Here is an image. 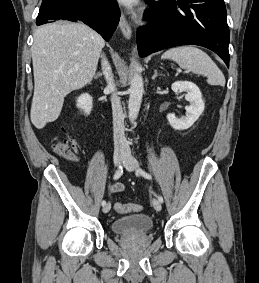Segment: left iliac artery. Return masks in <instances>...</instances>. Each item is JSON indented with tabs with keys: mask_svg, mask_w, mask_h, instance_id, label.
<instances>
[{
	"mask_svg": "<svg viewBox=\"0 0 259 283\" xmlns=\"http://www.w3.org/2000/svg\"><path fill=\"white\" fill-rule=\"evenodd\" d=\"M137 173L141 174L143 177H145V178H147V179H152V176H151L149 173L143 171V170L140 169V168L137 169ZM158 200H159L161 203H163V197H162L161 195H158Z\"/></svg>",
	"mask_w": 259,
	"mask_h": 283,
	"instance_id": "left-iliac-artery-1",
	"label": "left iliac artery"
}]
</instances>
